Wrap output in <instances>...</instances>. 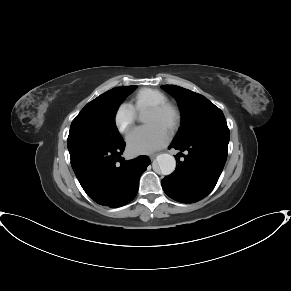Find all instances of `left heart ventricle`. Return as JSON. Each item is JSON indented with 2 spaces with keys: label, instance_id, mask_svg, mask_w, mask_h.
<instances>
[{
  "label": "left heart ventricle",
  "instance_id": "b2bd125f",
  "mask_svg": "<svg viewBox=\"0 0 291 291\" xmlns=\"http://www.w3.org/2000/svg\"><path fill=\"white\" fill-rule=\"evenodd\" d=\"M167 117L159 114V113H155L153 111H149L147 110L144 114V123L146 125L148 124H156L159 125L163 128H167Z\"/></svg>",
  "mask_w": 291,
  "mask_h": 291
}]
</instances>
